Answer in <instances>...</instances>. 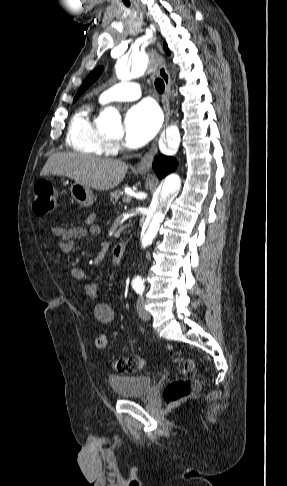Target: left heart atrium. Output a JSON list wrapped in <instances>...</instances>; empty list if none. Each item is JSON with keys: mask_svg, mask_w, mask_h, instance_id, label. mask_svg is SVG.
Returning a JSON list of instances; mask_svg holds the SVG:
<instances>
[{"mask_svg": "<svg viewBox=\"0 0 287 486\" xmlns=\"http://www.w3.org/2000/svg\"><path fill=\"white\" fill-rule=\"evenodd\" d=\"M160 124L161 115L154 104L141 102L133 106L124 119L125 144L131 148L145 145L157 133Z\"/></svg>", "mask_w": 287, "mask_h": 486, "instance_id": "left-heart-atrium-1", "label": "left heart atrium"}]
</instances>
